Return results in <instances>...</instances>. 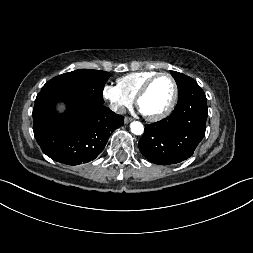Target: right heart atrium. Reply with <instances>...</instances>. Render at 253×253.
Wrapping results in <instances>:
<instances>
[{
	"label": "right heart atrium",
	"mask_w": 253,
	"mask_h": 253,
	"mask_svg": "<svg viewBox=\"0 0 253 253\" xmlns=\"http://www.w3.org/2000/svg\"><path fill=\"white\" fill-rule=\"evenodd\" d=\"M102 95L109 103L110 108L116 113H122L132 104V99L125 95L117 85H105L102 90Z\"/></svg>",
	"instance_id": "obj_1"
}]
</instances>
